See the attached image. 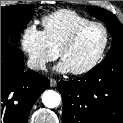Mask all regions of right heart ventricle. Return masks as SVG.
Returning a JSON list of instances; mask_svg holds the SVG:
<instances>
[{
	"instance_id": "e07e8e85",
	"label": "right heart ventricle",
	"mask_w": 123,
	"mask_h": 123,
	"mask_svg": "<svg viewBox=\"0 0 123 123\" xmlns=\"http://www.w3.org/2000/svg\"><path fill=\"white\" fill-rule=\"evenodd\" d=\"M89 22V18L69 9H59L41 19L42 31L56 52L78 27Z\"/></svg>"
}]
</instances>
